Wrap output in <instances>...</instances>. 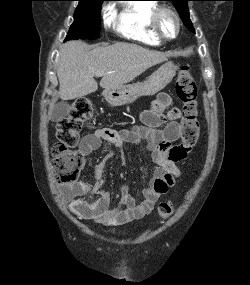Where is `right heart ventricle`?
<instances>
[{
	"label": "right heart ventricle",
	"instance_id": "right-heart-ventricle-1",
	"mask_svg": "<svg viewBox=\"0 0 250 285\" xmlns=\"http://www.w3.org/2000/svg\"><path fill=\"white\" fill-rule=\"evenodd\" d=\"M157 3L151 0H135L126 4L117 20V31L125 39L147 46H159L162 41L151 29V17Z\"/></svg>",
	"mask_w": 250,
	"mask_h": 285
}]
</instances>
